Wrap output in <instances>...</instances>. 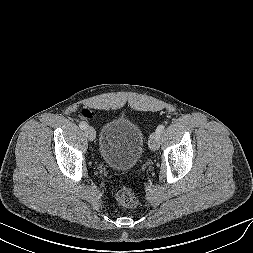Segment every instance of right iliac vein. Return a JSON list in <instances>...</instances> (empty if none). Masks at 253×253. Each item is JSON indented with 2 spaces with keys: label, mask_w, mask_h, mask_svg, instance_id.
<instances>
[{
  "label": "right iliac vein",
  "mask_w": 253,
  "mask_h": 253,
  "mask_svg": "<svg viewBox=\"0 0 253 253\" xmlns=\"http://www.w3.org/2000/svg\"><path fill=\"white\" fill-rule=\"evenodd\" d=\"M85 135L88 138V140L93 141L96 137V132L92 127H87L85 129Z\"/></svg>",
  "instance_id": "63e3f726"
}]
</instances>
